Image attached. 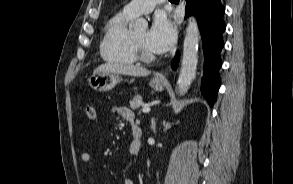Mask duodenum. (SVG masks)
<instances>
[{"label": "duodenum", "mask_w": 293, "mask_h": 184, "mask_svg": "<svg viewBox=\"0 0 293 184\" xmlns=\"http://www.w3.org/2000/svg\"><path fill=\"white\" fill-rule=\"evenodd\" d=\"M133 134H134V149L136 152L140 149V137H141V130L137 126L133 127Z\"/></svg>", "instance_id": "obj_1"}]
</instances>
